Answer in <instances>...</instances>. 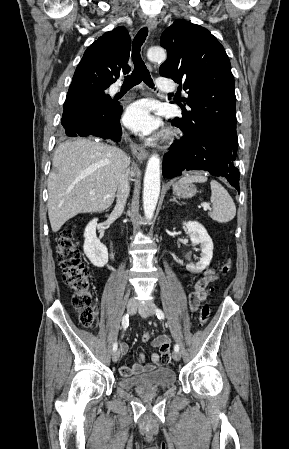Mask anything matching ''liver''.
<instances>
[{"label": "liver", "instance_id": "1", "mask_svg": "<svg viewBox=\"0 0 289 449\" xmlns=\"http://www.w3.org/2000/svg\"><path fill=\"white\" fill-rule=\"evenodd\" d=\"M129 163L130 159L121 149L91 139L59 145L48 177L47 207L52 231L58 232L79 213L109 208L120 176ZM90 191L95 194L91 195Z\"/></svg>", "mask_w": 289, "mask_h": 449}]
</instances>
